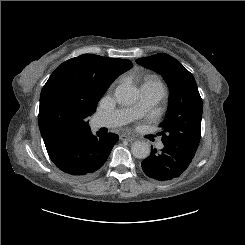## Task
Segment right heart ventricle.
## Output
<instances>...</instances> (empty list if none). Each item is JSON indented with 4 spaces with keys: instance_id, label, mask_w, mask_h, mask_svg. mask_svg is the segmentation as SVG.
Returning a JSON list of instances; mask_svg holds the SVG:
<instances>
[{
    "instance_id": "e07e8e85",
    "label": "right heart ventricle",
    "mask_w": 245,
    "mask_h": 245,
    "mask_svg": "<svg viewBox=\"0 0 245 245\" xmlns=\"http://www.w3.org/2000/svg\"><path fill=\"white\" fill-rule=\"evenodd\" d=\"M142 87H145L147 89H152V90H157V91H161L165 94L166 92V89H165V86L163 84V82L160 80V78L155 75V74H150V75H147L145 78H144V81L141 85V88Z\"/></svg>"
}]
</instances>
